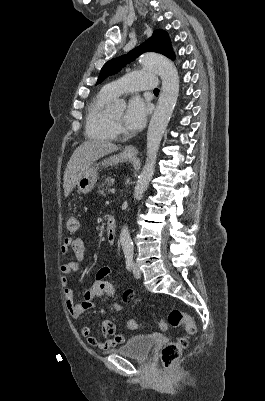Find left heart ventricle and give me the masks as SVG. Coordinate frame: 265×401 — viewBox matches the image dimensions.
<instances>
[{"label":"left heart ventricle","instance_id":"1","mask_svg":"<svg viewBox=\"0 0 265 401\" xmlns=\"http://www.w3.org/2000/svg\"><path fill=\"white\" fill-rule=\"evenodd\" d=\"M114 120L119 123V124H123V120H124V109H118L116 110L113 114H112Z\"/></svg>","mask_w":265,"mask_h":401}]
</instances>
